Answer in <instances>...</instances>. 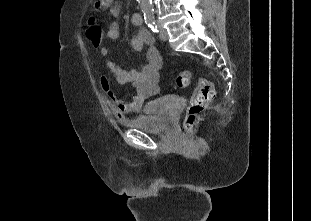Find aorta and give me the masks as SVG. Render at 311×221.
Masks as SVG:
<instances>
[{
	"label": "aorta",
	"instance_id": "obj_1",
	"mask_svg": "<svg viewBox=\"0 0 311 221\" xmlns=\"http://www.w3.org/2000/svg\"><path fill=\"white\" fill-rule=\"evenodd\" d=\"M140 8L144 12L145 20H153L154 10L151 0H139Z\"/></svg>",
	"mask_w": 311,
	"mask_h": 221
}]
</instances>
